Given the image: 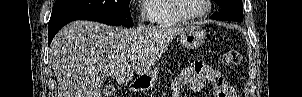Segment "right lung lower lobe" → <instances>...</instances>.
<instances>
[{"label":"right lung lower lobe","mask_w":302,"mask_h":97,"mask_svg":"<svg viewBox=\"0 0 302 97\" xmlns=\"http://www.w3.org/2000/svg\"><path fill=\"white\" fill-rule=\"evenodd\" d=\"M73 20H91V21H97V22L112 25V26H120L119 23H117L113 20L98 16V15L83 14V15H76V16H69V17L61 18V19L55 20L53 22H49V24H48V45H50L55 34L64 25H66L67 23H69Z\"/></svg>","instance_id":"right-lung-lower-lobe-1"}]
</instances>
